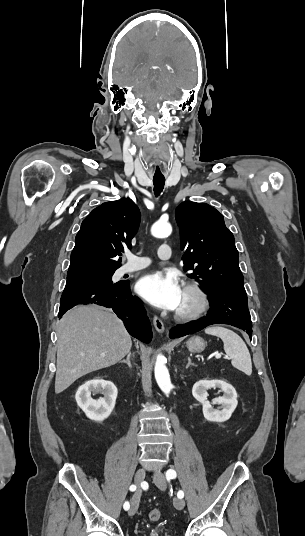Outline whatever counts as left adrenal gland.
Here are the masks:
<instances>
[{
  "label": "left adrenal gland",
  "mask_w": 305,
  "mask_h": 536,
  "mask_svg": "<svg viewBox=\"0 0 305 536\" xmlns=\"http://www.w3.org/2000/svg\"><path fill=\"white\" fill-rule=\"evenodd\" d=\"M189 366H194V364H192V362H191V358H188V364L186 366V370H187V368H189Z\"/></svg>",
  "instance_id": "left-adrenal-gland-1"
}]
</instances>
